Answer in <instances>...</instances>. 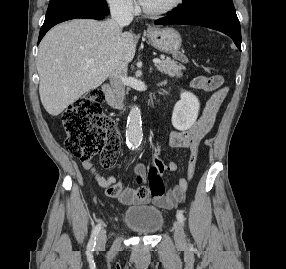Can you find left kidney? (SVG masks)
Instances as JSON below:
<instances>
[{
	"instance_id": "5707ae66",
	"label": "left kidney",
	"mask_w": 286,
	"mask_h": 269,
	"mask_svg": "<svg viewBox=\"0 0 286 269\" xmlns=\"http://www.w3.org/2000/svg\"><path fill=\"white\" fill-rule=\"evenodd\" d=\"M199 108L200 103L195 95L190 92L181 93L172 113L173 127L180 131L191 128L196 122Z\"/></svg>"
}]
</instances>
